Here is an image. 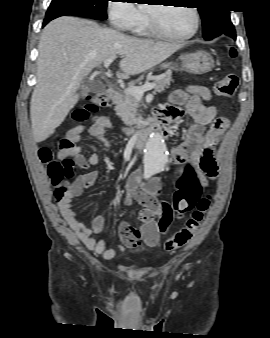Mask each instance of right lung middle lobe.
Instances as JSON below:
<instances>
[{
    "label": "right lung middle lobe",
    "mask_w": 270,
    "mask_h": 338,
    "mask_svg": "<svg viewBox=\"0 0 270 338\" xmlns=\"http://www.w3.org/2000/svg\"><path fill=\"white\" fill-rule=\"evenodd\" d=\"M109 0H52L46 18L65 15L82 16L96 20H105Z\"/></svg>",
    "instance_id": "1"
}]
</instances>
